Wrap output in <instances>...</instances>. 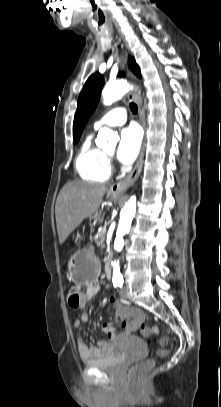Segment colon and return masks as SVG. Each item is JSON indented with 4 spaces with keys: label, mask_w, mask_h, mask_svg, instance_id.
<instances>
[{
    "label": "colon",
    "mask_w": 221,
    "mask_h": 407,
    "mask_svg": "<svg viewBox=\"0 0 221 407\" xmlns=\"http://www.w3.org/2000/svg\"><path fill=\"white\" fill-rule=\"evenodd\" d=\"M86 289L81 287L79 291L74 289L68 293L66 300L70 311H82L84 305V293ZM114 316L120 318L124 322V327L129 330L140 329L145 337L152 338L157 333L156 327H149L145 323V314L142 309H136L134 305H117L114 311ZM168 338H163L162 343L167 344ZM169 353L168 349H161L157 352L158 357H165ZM154 360L148 359L134 364L129 370V381L133 385L141 383L146 373L153 367Z\"/></svg>",
    "instance_id": "5ec220e1"
}]
</instances>
